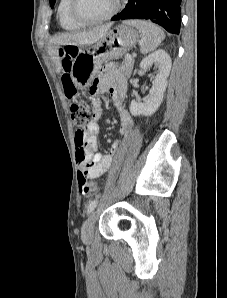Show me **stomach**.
<instances>
[{
    "instance_id": "0dacf381",
    "label": "stomach",
    "mask_w": 227,
    "mask_h": 298,
    "mask_svg": "<svg viewBox=\"0 0 227 298\" xmlns=\"http://www.w3.org/2000/svg\"><path fill=\"white\" fill-rule=\"evenodd\" d=\"M138 38L135 29L122 24L110 30L94 45L80 49L71 64L73 83L78 88L87 87L104 62L122 57L135 46Z\"/></svg>"
}]
</instances>
